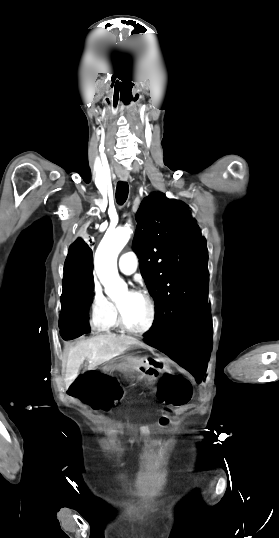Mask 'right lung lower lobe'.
Masks as SVG:
<instances>
[{
    "instance_id": "right-lung-lower-lobe-1",
    "label": "right lung lower lobe",
    "mask_w": 279,
    "mask_h": 538,
    "mask_svg": "<svg viewBox=\"0 0 279 538\" xmlns=\"http://www.w3.org/2000/svg\"><path fill=\"white\" fill-rule=\"evenodd\" d=\"M93 254L81 239L69 249L64 265L63 292L61 295L60 334L71 340L90 331L88 305L93 290Z\"/></svg>"
}]
</instances>
